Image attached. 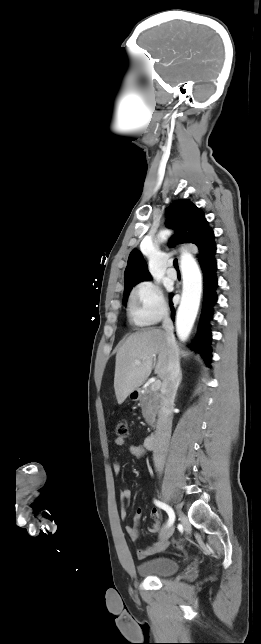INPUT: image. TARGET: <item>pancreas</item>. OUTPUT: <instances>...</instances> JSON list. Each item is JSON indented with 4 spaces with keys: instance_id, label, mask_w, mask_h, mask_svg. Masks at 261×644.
Here are the masks:
<instances>
[{
    "instance_id": "pancreas-1",
    "label": "pancreas",
    "mask_w": 261,
    "mask_h": 644,
    "mask_svg": "<svg viewBox=\"0 0 261 644\" xmlns=\"http://www.w3.org/2000/svg\"><path fill=\"white\" fill-rule=\"evenodd\" d=\"M158 406V396L150 388L145 390L144 395L141 397L142 415L145 421L152 426L155 422V416Z\"/></svg>"
}]
</instances>
